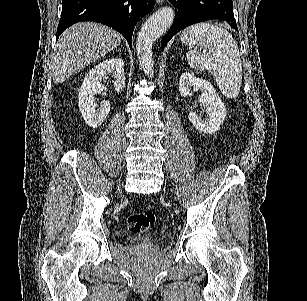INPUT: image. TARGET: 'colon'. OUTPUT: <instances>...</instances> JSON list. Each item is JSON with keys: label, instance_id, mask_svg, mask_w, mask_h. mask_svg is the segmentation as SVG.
<instances>
[{"label": "colon", "instance_id": "colon-1", "mask_svg": "<svg viewBox=\"0 0 307 301\" xmlns=\"http://www.w3.org/2000/svg\"><path fill=\"white\" fill-rule=\"evenodd\" d=\"M155 223V215L152 211H144L130 215L126 226L133 233H143L150 229Z\"/></svg>", "mask_w": 307, "mask_h": 301}]
</instances>
